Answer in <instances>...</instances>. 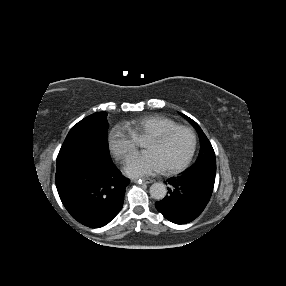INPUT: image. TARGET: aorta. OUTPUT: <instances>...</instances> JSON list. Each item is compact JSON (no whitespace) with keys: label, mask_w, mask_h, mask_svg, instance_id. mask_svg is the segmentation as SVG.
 <instances>
[{"label":"aorta","mask_w":286,"mask_h":286,"mask_svg":"<svg viewBox=\"0 0 286 286\" xmlns=\"http://www.w3.org/2000/svg\"><path fill=\"white\" fill-rule=\"evenodd\" d=\"M149 192L153 199L162 200L167 194V188L163 183L156 182L151 185Z\"/></svg>","instance_id":"aorta-1"}]
</instances>
